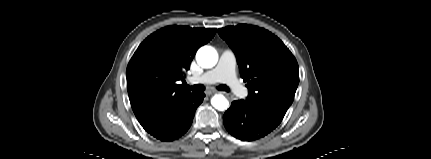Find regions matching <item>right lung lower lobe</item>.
I'll return each instance as SVG.
<instances>
[{
    "mask_svg": "<svg viewBox=\"0 0 431 159\" xmlns=\"http://www.w3.org/2000/svg\"><path fill=\"white\" fill-rule=\"evenodd\" d=\"M204 97V93L187 96L152 128L146 131L161 141L178 139L191 126L195 110L202 103Z\"/></svg>",
    "mask_w": 431,
    "mask_h": 159,
    "instance_id": "obj_1",
    "label": "right lung lower lobe"
}]
</instances>
